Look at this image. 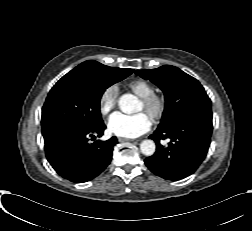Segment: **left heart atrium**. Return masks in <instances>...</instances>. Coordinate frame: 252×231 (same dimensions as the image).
Here are the masks:
<instances>
[{
  "instance_id": "obj_1",
  "label": "left heart atrium",
  "mask_w": 252,
  "mask_h": 231,
  "mask_svg": "<svg viewBox=\"0 0 252 231\" xmlns=\"http://www.w3.org/2000/svg\"><path fill=\"white\" fill-rule=\"evenodd\" d=\"M151 128V120L145 113L126 115L116 113L111 116L108 122V129L116 136L123 138H135Z\"/></svg>"
}]
</instances>
